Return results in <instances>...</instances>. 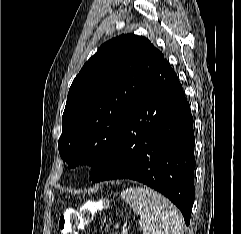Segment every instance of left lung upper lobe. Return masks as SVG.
<instances>
[{
  "instance_id": "1",
  "label": "left lung upper lobe",
  "mask_w": 241,
  "mask_h": 234,
  "mask_svg": "<svg viewBox=\"0 0 241 234\" xmlns=\"http://www.w3.org/2000/svg\"><path fill=\"white\" fill-rule=\"evenodd\" d=\"M164 60L151 42L134 34L104 43L85 63L68 92L58 149L69 168L105 164L138 94Z\"/></svg>"
}]
</instances>
